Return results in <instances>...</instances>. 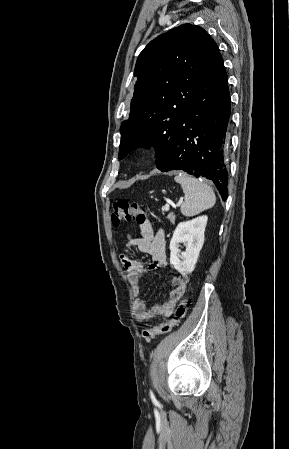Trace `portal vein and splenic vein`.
<instances>
[{
	"label": "portal vein and splenic vein",
	"instance_id": "18ae733b",
	"mask_svg": "<svg viewBox=\"0 0 289 449\" xmlns=\"http://www.w3.org/2000/svg\"><path fill=\"white\" fill-rule=\"evenodd\" d=\"M181 204H182V201H180V202L177 203V204H172V206H173L174 208H176V207L180 206ZM169 207H170V205H169V204H166V205L164 206L163 210L168 211V210H169Z\"/></svg>",
	"mask_w": 289,
	"mask_h": 449
}]
</instances>
